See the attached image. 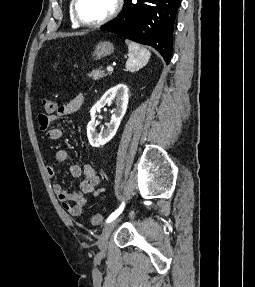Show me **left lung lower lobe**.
<instances>
[{"instance_id":"obj_1","label":"left lung lower lobe","mask_w":255,"mask_h":287,"mask_svg":"<svg viewBox=\"0 0 255 287\" xmlns=\"http://www.w3.org/2000/svg\"><path fill=\"white\" fill-rule=\"evenodd\" d=\"M181 0H124L120 15L100 29L154 47L168 64Z\"/></svg>"}]
</instances>
